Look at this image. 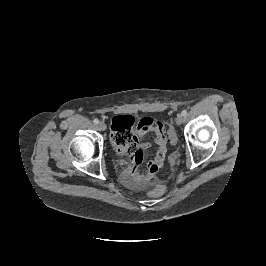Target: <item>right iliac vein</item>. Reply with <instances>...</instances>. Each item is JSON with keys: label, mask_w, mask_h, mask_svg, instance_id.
<instances>
[{"label": "right iliac vein", "mask_w": 266, "mask_h": 266, "mask_svg": "<svg viewBox=\"0 0 266 266\" xmlns=\"http://www.w3.org/2000/svg\"><path fill=\"white\" fill-rule=\"evenodd\" d=\"M98 127H99V129L102 130V131L106 130V124H105L104 122H100V123L98 124Z\"/></svg>", "instance_id": "obj_1"}]
</instances>
